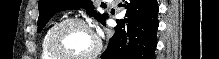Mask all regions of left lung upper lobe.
Returning a JSON list of instances; mask_svg holds the SVG:
<instances>
[{
  "label": "left lung upper lobe",
  "mask_w": 219,
  "mask_h": 59,
  "mask_svg": "<svg viewBox=\"0 0 219 59\" xmlns=\"http://www.w3.org/2000/svg\"><path fill=\"white\" fill-rule=\"evenodd\" d=\"M82 7L90 16L102 24L105 23L107 14L96 13L90 0H39L38 32L59 11L79 9Z\"/></svg>",
  "instance_id": "left-lung-upper-lobe-1"
}]
</instances>
